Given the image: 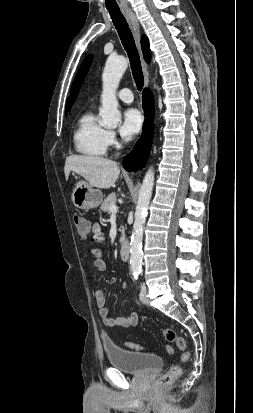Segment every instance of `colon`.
<instances>
[{
	"label": "colon",
	"instance_id": "obj_1",
	"mask_svg": "<svg viewBox=\"0 0 253 413\" xmlns=\"http://www.w3.org/2000/svg\"><path fill=\"white\" fill-rule=\"evenodd\" d=\"M72 218H73L74 225L76 226L78 235L83 239L87 238L91 233V227L88 221L86 220V218L79 213H75ZM163 335L169 343L174 344L178 349L182 351L181 360L183 362L188 361L190 354L188 351H186L185 339L179 336L171 328L164 329ZM127 346L131 349H136V350L140 349V346L133 344V343H127ZM167 351L169 353L173 352L172 345L167 346ZM181 372H182V369L180 366L176 365V366L171 367L165 374H163L158 379L157 385L160 387L169 385L170 383H172L174 380H176L180 376Z\"/></svg>",
	"mask_w": 253,
	"mask_h": 413
}]
</instances>
